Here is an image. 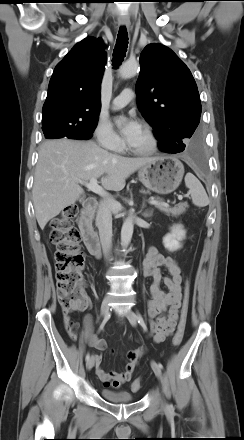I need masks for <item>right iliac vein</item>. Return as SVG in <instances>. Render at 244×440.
Masks as SVG:
<instances>
[{
  "label": "right iliac vein",
  "mask_w": 244,
  "mask_h": 440,
  "mask_svg": "<svg viewBox=\"0 0 244 440\" xmlns=\"http://www.w3.org/2000/svg\"><path fill=\"white\" fill-rule=\"evenodd\" d=\"M109 302H110L109 297H106V298L103 300V302H102V305H101V315H102L103 317H106L107 314H108V311H109ZM93 366H94V361H93L92 358H90V359L87 361L86 368H87L88 370H91V369L93 368Z\"/></svg>",
  "instance_id": "1"
}]
</instances>
